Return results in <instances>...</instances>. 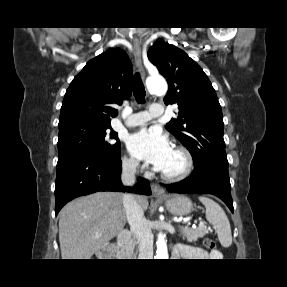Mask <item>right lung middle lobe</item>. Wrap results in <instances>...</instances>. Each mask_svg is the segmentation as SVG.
<instances>
[{
  "label": "right lung middle lobe",
  "mask_w": 287,
  "mask_h": 287,
  "mask_svg": "<svg viewBox=\"0 0 287 287\" xmlns=\"http://www.w3.org/2000/svg\"><path fill=\"white\" fill-rule=\"evenodd\" d=\"M103 126L92 123H74L59 128L58 160L84 155L104 160L120 158L118 134ZM116 140V142H114Z\"/></svg>",
  "instance_id": "dd1d6c3e"
}]
</instances>
